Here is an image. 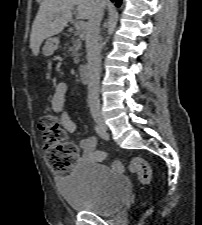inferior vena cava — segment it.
Listing matches in <instances>:
<instances>
[{
  "label": "inferior vena cava",
  "mask_w": 202,
  "mask_h": 225,
  "mask_svg": "<svg viewBox=\"0 0 202 225\" xmlns=\"http://www.w3.org/2000/svg\"><path fill=\"white\" fill-rule=\"evenodd\" d=\"M104 4L102 0L95 1V7L88 21L86 34L87 68H88V103L91 110H99L100 81V23L103 17Z\"/></svg>",
  "instance_id": "inferior-vena-cava-1"
}]
</instances>
